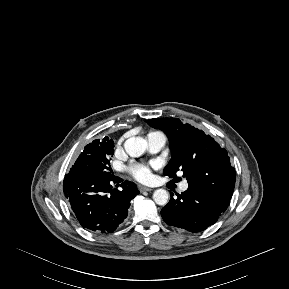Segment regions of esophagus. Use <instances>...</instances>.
I'll return each instance as SVG.
<instances>
[{
    "instance_id": "1",
    "label": "esophagus",
    "mask_w": 289,
    "mask_h": 289,
    "mask_svg": "<svg viewBox=\"0 0 289 289\" xmlns=\"http://www.w3.org/2000/svg\"><path fill=\"white\" fill-rule=\"evenodd\" d=\"M139 190L140 191H152L153 189L152 188H149V187H146V186H139Z\"/></svg>"
}]
</instances>
